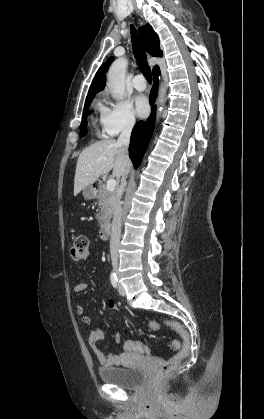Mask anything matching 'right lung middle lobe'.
Wrapping results in <instances>:
<instances>
[{
  "instance_id": "1",
  "label": "right lung middle lobe",
  "mask_w": 264,
  "mask_h": 419,
  "mask_svg": "<svg viewBox=\"0 0 264 419\" xmlns=\"http://www.w3.org/2000/svg\"><path fill=\"white\" fill-rule=\"evenodd\" d=\"M94 97L88 99L85 101V108H84V112H83V116H82V122L80 125V136H83L84 134L87 133V115H88V108L89 105L91 104L92 100Z\"/></svg>"
}]
</instances>
